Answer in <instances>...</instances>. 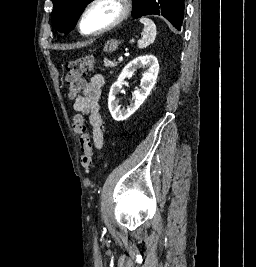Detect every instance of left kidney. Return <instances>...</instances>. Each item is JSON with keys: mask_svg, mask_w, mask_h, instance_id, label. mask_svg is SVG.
<instances>
[{"mask_svg": "<svg viewBox=\"0 0 256 267\" xmlns=\"http://www.w3.org/2000/svg\"><path fill=\"white\" fill-rule=\"evenodd\" d=\"M137 68H147L140 80L141 90H135V92H133L134 100L131 102L130 106H128L127 110H120L118 106L119 100H116V96L121 92L125 78H129L131 74H134ZM158 74V60L155 56H152V54L138 56V58H135V60H132V62H129V64L123 68L120 76H118L117 82L112 84L108 98V108L112 118H114L116 122L127 120L131 114H134V112L140 108L141 104H143L144 100L149 96L152 88H154Z\"/></svg>", "mask_w": 256, "mask_h": 267, "instance_id": "obj_1", "label": "left kidney"}]
</instances>
